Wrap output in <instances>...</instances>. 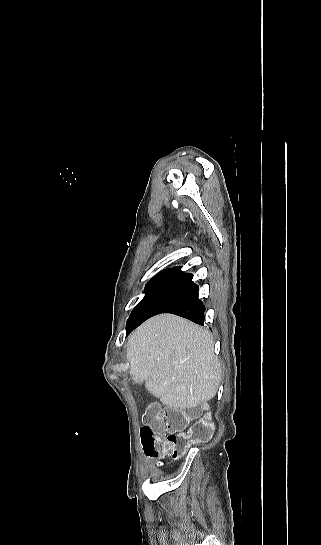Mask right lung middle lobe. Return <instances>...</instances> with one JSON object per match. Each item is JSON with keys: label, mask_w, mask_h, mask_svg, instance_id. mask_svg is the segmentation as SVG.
I'll list each match as a JSON object with an SVG mask.
<instances>
[{"label": "right lung middle lobe", "mask_w": 321, "mask_h": 545, "mask_svg": "<svg viewBox=\"0 0 321 545\" xmlns=\"http://www.w3.org/2000/svg\"><path fill=\"white\" fill-rule=\"evenodd\" d=\"M175 272V270L172 269H166L162 272L158 273L156 276H154L145 287V293L146 295L144 298L140 301V303L133 309L129 320H134L139 316V314L144 310V308L148 305V303L151 301V299L154 297V295L157 293V291L160 289V287L166 282V280Z\"/></svg>", "instance_id": "right-lung-middle-lobe-1"}]
</instances>
